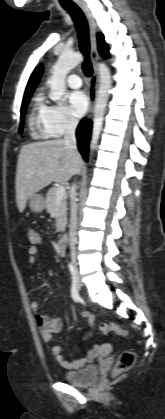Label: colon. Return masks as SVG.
<instances>
[{
	"instance_id": "5ec220e1",
	"label": "colon",
	"mask_w": 165,
	"mask_h": 419,
	"mask_svg": "<svg viewBox=\"0 0 165 419\" xmlns=\"http://www.w3.org/2000/svg\"><path fill=\"white\" fill-rule=\"evenodd\" d=\"M28 236L32 243H37L39 241L38 234L32 229L28 231ZM100 327L104 333H114L121 336L127 335V331L125 329L114 323H102ZM135 360L136 353L133 350H125L121 352L114 365L113 373L118 375L129 370L134 365Z\"/></svg>"
}]
</instances>
